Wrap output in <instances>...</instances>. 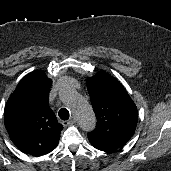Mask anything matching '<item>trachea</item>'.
I'll list each match as a JSON object with an SVG mask.
<instances>
[{
	"label": "trachea",
	"instance_id": "1",
	"mask_svg": "<svg viewBox=\"0 0 171 171\" xmlns=\"http://www.w3.org/2000/svg\"><path fill=\"white\" fill-rule=\"evenodd\" d=\"M58 115L62 120H68L70 117L69 111L65 108L60 109Z\"/></svg>",
	"mask_w": 171,
	"mask_h": 171
}]
</instances>
